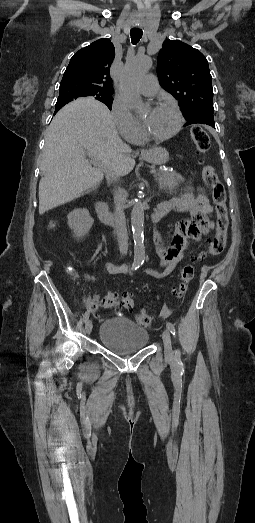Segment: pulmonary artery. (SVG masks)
I'll return each mask as SVG.
<instances>
[{"mask_svg":"<svg viewBox=\"0 0 255 523\" xmlns=\"http://www.w3.org/2000/svg\"><path fill=\"white\" fill-rule=\"evenodd\" d=\"M156 75L153 72L148 73L147 76H145L144 80L139 83V90L145 94V95H154L158 94L160 92V89L157 87L156 83Z\"/></svg>","mask_w":255,"mask_h":523,"instance_id":"pulmonary-artery-1","label":"pulmonary artery"}]
</instances>
